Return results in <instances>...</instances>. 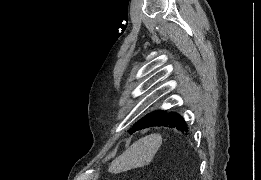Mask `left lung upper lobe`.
I'll list each match as a JSON object with an SVG mask.
<instances>
[{
	"mask_svg": "<svg viewBox=\"0 0 261 180\" xmlns=\"http://www.w3.org/2000/svg\"><path fill=\"white\" fill-rule=\"evenodd\" d=\"M164 111L158 110L154 113H149L142 119H140L137 123L130 128L129 132L132 134L138 130L145 129L150 127L162 114Z\"/></svg>",
	"mask_w": 261,
	"mask_h": 180,
	"instance_id": "left-lung-upper-lobe-1",
	"label": "left lung upper lobe"
}]
</instances>
